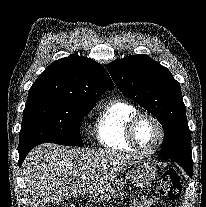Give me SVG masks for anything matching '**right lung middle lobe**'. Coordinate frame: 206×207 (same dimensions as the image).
<instances>
[{
    "label": "right lung middle lobe",
    "mask_w": 206,
    "mask_h": 207,
    "mask_svg": "<svg viewBox=\"0 0 206 207\" xmlns=\"http://www.w3.org/2000/svg\"><path fill=\"white\" fill-rule=\"evenodd\" d=\"M94 106L53 98L27 102L19 135V152L44 142L83 146L80 125Z\"/></svg>",
    "instance_id": "right-lung-middle-lobe-1"
}]
</instances>
